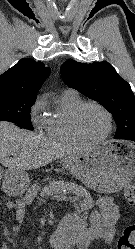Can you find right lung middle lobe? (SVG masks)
I'll return each instance as SVG.
<instances>
[{
	"label": "right lung middle lobe",
	"mask_w": 135,
	"mask_h": 249,
	"mask_svg": "<svg viewBox=\"0 0 135 249\" xmlns=\"http://www.w3.org/2000/svg\"><path fill=\"white\" fill-rule=\"evenodd\" d=\"M35 99V97L0 94V120L33 130L30 122V108L35 103Z\"/></svg>",
	"instance_id": "obj_1"
}]
</instances>
